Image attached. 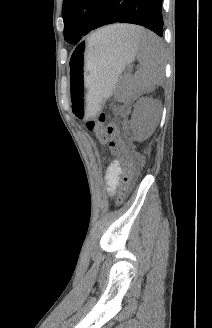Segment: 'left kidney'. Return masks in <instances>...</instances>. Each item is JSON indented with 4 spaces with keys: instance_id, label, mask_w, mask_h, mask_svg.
I'll list each match as a JSON object with an SVG mask.
<instances>
[{
    "instance_id": "1",
    "label": "left kidney",
    "mask_w": 212,
    "mask_h": 328,
    "mask_svg": "<svg viewBox=\"0 0 212 328\" xmlns=\"http://www.w3.org/2000/svg\"><path fill=\"white\" fill-rule=\"evenodd\" d=\"M161 104L152 98H140L134 107L131 129L136 140L148 138L158 125L161 116Z\"/></svg>"
}]
</instances>
